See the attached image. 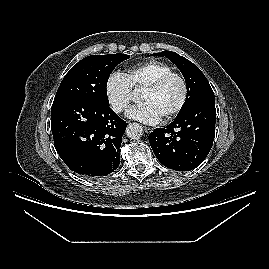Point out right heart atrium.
<instances>
[{"label":"right heart atrium","instance_id":"obj_1","mask_svg":"<svg viewBox=\"0 0 269 269\" xmlns=\"http://www.w3.org/2000/svg\"><path fill=\"white\" fill-rule=\"evenodd\" d=\"M110 108L117 114L125 112L132 101L131 86L126 76L118 71L111 72L104 86Z\"/></svg>","mask_w":269,"mask_h":269}]
</instances>
